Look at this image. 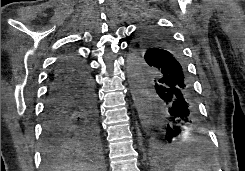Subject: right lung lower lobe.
I'll return each instance as SVG.
<instances>
[{
	"instance_id": "obj_1",
	"label": "right lung lower lobe",
	"mask_w": 245,
	"mask_h": 171,
	"mask_svg": "<svg viewBox=\"0 0 245 171\" xmlns=\"http://www.w3.org/2000/svg\"><path fill=\"white\" fill-rule=\"evenodd\" d=\"M43 133L49 156L72 146L92 147L98 143L94 82L86 61L76 54L64 55L51 74Z\"/></svg>"
}]
</instances>
